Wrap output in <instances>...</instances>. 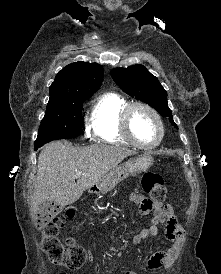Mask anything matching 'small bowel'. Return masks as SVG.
I'll list each match as a JSON object with an SVG mask.
<instances>
[{"label": "small bowel", "instance_id": "1", "mask_svg": "<svg viewBox=\"0 0 221 274\" xmlns=\"http://www.w3.org/2000/svg\"><path fill=\"white\" fill-rule=\"evenodd\" d=\"M130 200L139 205L141 215H147L152 212L153 216L148 227L140 230L134 237V244H139L142 240L156 236L158 226L165 223V237L172 244L162 251L154 253L147 262L149 269L157 270L161 267H169L177 258L181 242L183 239V228L180 225L171 206L163 205L161 202H154L144 197L142 194L133 192L130 194ZM93 257L89 255V260ZM65 274V273H62ZM123 274H137L132 270H125Z\"/></svg>", "mask_w": 221, "mask_h": 274}]
</instances>
